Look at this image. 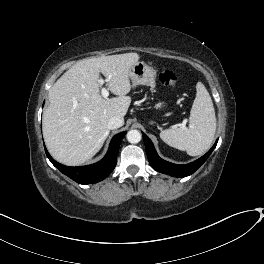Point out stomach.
<instances>
[{"mask_svg":"<svg viewBox=\"0 0 264 264\" xmlns=\"http://www.w3.org/2000/svg\"><path fill=\"white\" fill-rule=\"evenodd\" d=\"M129 77L134 85L155 87L156 70L144 62H136L129 70ZM166 103L163 101L155 105L156 110H163Z\"/></svg>","mask_w":264,"mask_h":264,"instance_id":"0dacf381","label":"stomach"}]
</instances>
